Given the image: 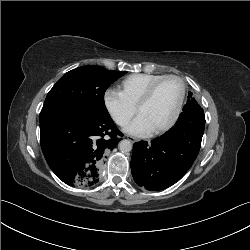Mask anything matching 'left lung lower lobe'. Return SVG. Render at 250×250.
Returning a JSON list of instances; mask_svg holds the SVG:
<instances>
[{
	"label": "left lung lower lobe",
	"instance_id": "0a47b994",
	"mask_svg": "<svg viewBox=\"0 0 250 250\" xmlns=\"http://www.w3.org/2000/svg\"><path fill=\"white\" fill-rule=\"evenodd\" d=\"M204 124V111L193 100L183 107L168 132L151 143H135L131 158L134 181L147 190L157 191L180 180L199 153Z\"/></svg>",
	"mask_w": 250,
	"mask_h": 250
}]
</instances>
